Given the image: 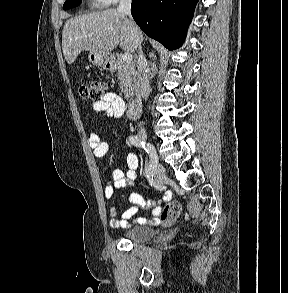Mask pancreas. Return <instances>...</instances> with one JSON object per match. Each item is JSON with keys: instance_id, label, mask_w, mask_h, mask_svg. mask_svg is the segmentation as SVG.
<instances>
[{"instance_id": "cf45deb5", "label": "pancreas", "mask_w": 288, "mask_h": 293, "mask_svg": "<svg viewBox=\"0 0 288 293\" xmlns=\"http://www.w3.org/2000/svg\"><path fill=\"white\" fill-rule=\"evenodd\" d=\"M115 67L120 82V88L124 92L125 98L131 100L137 91L135 65L133 62L127 63L124 62L121 57H117Z\"/></svg>"}]
</instances>
